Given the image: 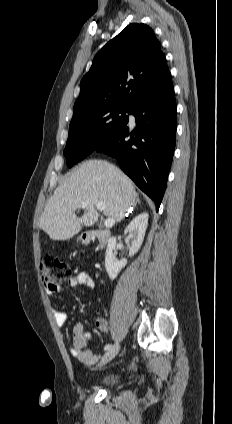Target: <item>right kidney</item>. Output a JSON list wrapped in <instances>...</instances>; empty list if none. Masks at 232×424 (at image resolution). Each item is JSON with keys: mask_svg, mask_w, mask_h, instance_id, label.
Listing matches in <instances>:
<instances>
[{"mask_svg": "<svg viewBox=\"0 0 232 424\" xmlns=\"http://www.w3.org/2000/svg\"><path fill=\"white\" fill-rule=\"evenodd\" d=\"M149 215L143 212L137 215L124 230V234L131 241L129 256H134L140 249L148 225ZM116 237H112L107 245L105 254V268L111 280H114L122 268L127 264V259L117 260L114 250L116 249Z\"/></svg>", "mask_w": 232, "mask_h": 424, "instance_id": "1", "label": "right kidney"}]
</instances>
